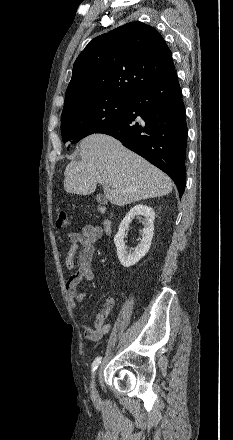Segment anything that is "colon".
I'll return each mask as SVG.
<instances>
[{"instance_id":"colon-1","label":"colon","mask_w":233,"mask_h":440,"mask_svg":"<svg viewBox=\"0 0 233 440\" xmlns=\"http://www.w3.org/2000/svg\"><path fill=\"white\" fill-rule=\"evenodd\" d=\"M55 224H56L57 228H66L68 225L66 213L61 207L56 208Z\"/></svg>"}]
</instances>
